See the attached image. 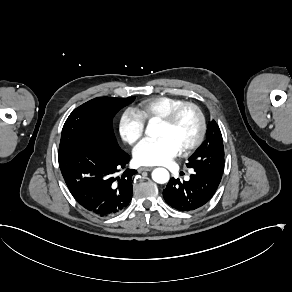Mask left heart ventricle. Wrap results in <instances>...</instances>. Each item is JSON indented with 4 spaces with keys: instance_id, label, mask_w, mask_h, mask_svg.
Wrapping results in <instances>:
<instances>
[{
    "instance_id": "b2bd125f",
    "label": "left heart ventricle",
    "mask_w": 292,
    "mask_h": 292,
    "mask_svg": "<svg viewBox=\"0 0 292 292\" xmlns=\"http://www.w3.org/2000/svg\"><path fill=\"white\" fill-rule=\"evenodd\" d=\"M198 129V118L196 113L190 109H184L176 121L167 125L159 121V137L169 136L173 138L180 147L190 143L196 136Z\"/></svg>"
}]
</instances>
